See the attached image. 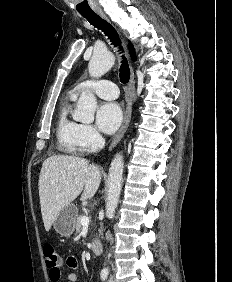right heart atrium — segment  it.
<instances>
[{"label": "right heart atrium", "mask_w": 232, "mask_h": 282, "mask_svg": "<svg viewBox=\"0 0 232 282\" xmlns=\"http://www.w3.org/2000/svg\"><path fill=\"white\" fill-rule=\"evenodd\" d=\"M78 139L80 147L84 151L96 149L102 141L99 132L93 126L87 124H80Z\"/></svg>", "instance_id": "obj_1"}]
</instances>
